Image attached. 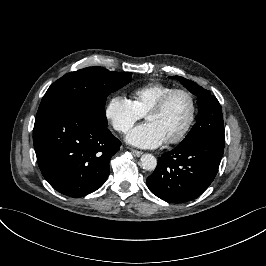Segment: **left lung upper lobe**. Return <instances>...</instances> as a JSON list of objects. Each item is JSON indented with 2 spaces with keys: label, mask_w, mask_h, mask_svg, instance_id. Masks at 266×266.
<instances>
[{
  "label": "left lung upper lobe",
  "mask_w": 266,
  "mask_h": 266,
  "mask_svg": "<svg viewBox=\"0 0 266 266\" xmlns=\"http://www.w3.org/2000/svg\"><path fill=\"white\" fill-rule=\"evenodd\" d=\"M197 96L199 111L197 122L188 135L178 145H186L203 137L224 139V122L221 106L215 96L196 83L180 76H173Z\"/></svg>",
  "instance_id": "left-lung-upper-lobe-1"
}]
</instances>
